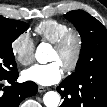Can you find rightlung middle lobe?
Returning a JSON list of instances; mask_svg holds the SVG:
<instances>
[{"instance_id":"dd1d6c3e","label":"right lung middle lobe","mask_w":107,"mask_h":107,"mask_svg":"<svg viewBox=\"0 0 107 107\" xmlns=\"http://www.w3.org/2000/svg\"><path fill=\"white\" fill-rule=\"evenodd\" d=\"M29 25L18 20L0 16V79H5L17 72L12 51V42L28 29Z\"/></svg>"}]
</instances>
